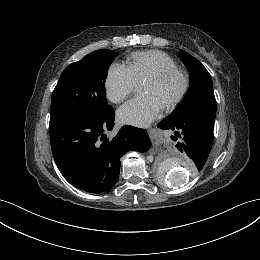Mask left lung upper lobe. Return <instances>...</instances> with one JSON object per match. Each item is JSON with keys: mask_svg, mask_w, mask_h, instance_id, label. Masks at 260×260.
Masks as SVG:
<instances>
[{"mask_svg": "<svg viewBox=\"0 0 260 260\" xmlns=\"http://www.w3.org/2000/svg\"><path fill=\"white\" fill-rule=\"evenodd\" d=\"M180 58L190 71V88L170 116L179 118L196 115L215 121L216 99L211 75L196 58L187 52L181 50Z\"/></svg>", "mask_w": 260, "mask_h": 260, "instance_id": "5c2ea615", "label": "left lung upper lobe"}]
</instances>
